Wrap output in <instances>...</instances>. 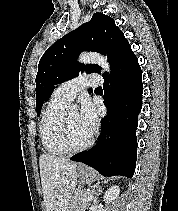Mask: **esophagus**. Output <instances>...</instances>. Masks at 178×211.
Returning a JSON list of instances; mask_svg holds the SVG:
<instances>
[{"label": "esophagus", "instance_id": "obj_1", "mask_svg": "<svg viewBox=\"0 0 178 211\" xmlns=\"http://www.w3.org/2000/svg\"><path fill=\"white\" fill-rule=\"evenodd\" d=\"M83 165L82 164H79V167H82Z\"/></svg>", "mask_w": 178, "mask_h": 211}]
</instances>
